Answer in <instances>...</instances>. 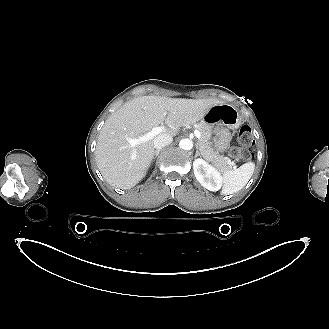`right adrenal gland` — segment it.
<instances>
[{"mask_svg": "<svg viewBox=\"0 0 329 329\" xmlns=\"http://www.w3.org/2000/svg\"><path fill=\"white\" fill-rule=\"evenodd\" d=\"M160 153V150H156L153 155V159H155Z\"/></svg>", "mask_w": 329, "mask_h": 329, "instance_id": "right-adrenal-gland-1", "label": "right adrenal gland"}]
</instances>
